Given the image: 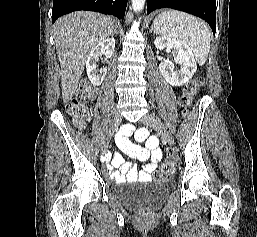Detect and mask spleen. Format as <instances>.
<instances>
[{
    "label": "spleen",
    "instance_id": "3e777b00",
    "mask_svg": "<svg viewBox=\"0 0 257 237\" xmlns=\"http://www.w3.org/2000/svg\"><path fill=\"white\" fill-rule=\"evenodd\" d=\"M153 24L155 33L185 43L197 63L205 64L210 50L211 33L203 21L183 12L169 10L157 15Z\"/></svg>",
    "mask_w": 257,
    "mask_h": 237
}]
</instances>
